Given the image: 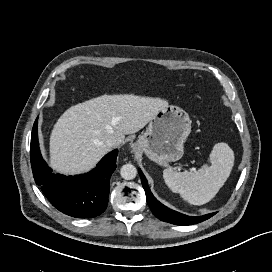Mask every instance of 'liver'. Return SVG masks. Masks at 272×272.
<instances>
[{"label":"liver","instance_id":"obj_1","mask_svg":"<svg viewBox=\"0 0 272 272\" xmlns=\"http://www.w3.org/2000/svg\"><path fill=\"white\" fill-rule=\"evenodd\" d=\"M167 106L160 98L105 94L70 107L51 132L50 166L69 175L89 171L110 150L108 137L121 144Z\"/></svg>","mask_w":272,"mask_h":272}]
</instances>
